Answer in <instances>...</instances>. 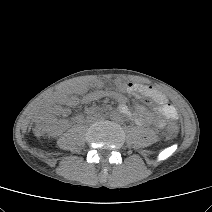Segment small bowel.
<instances>
[{
	"mask_svg": "<svg viewBox=\"0 0 212 212\" xmlns=\"http://www.w3.org/2000/svg\"><path fill=\"white\" fill-rule=\"evenodd\" d=\"M89 86L93 87L94 90L86 93ZM123 93L143 95L153 100L158 105L157 117H153L142 107H138L135 112H132L127 106ZM77 94H81L82 97H78ZM103 98H111L117 101L120 113L133 118L139 125L152 124L156 128H163L167 122L175 121L178 118L175 107L168 103L165 94L155 87L117 82L112 88H104L102 80H94L90 84L81 83L72 89H63L54 94L45 109L47 114L60 118L51 120L52 134L59 135L70 123H80L82 121L81 116H75L71 121L67 120L70 107H74L79 103L88 104Z\"/></svg>",
	"mask_w": 212,
	"mask_h": 212,
	"instance_id": "1",
	"label": "small bowel"
}]
</instances>
